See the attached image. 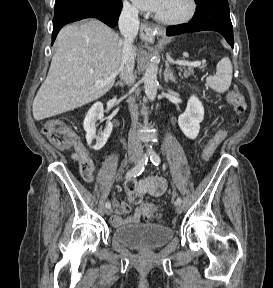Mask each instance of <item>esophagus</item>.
Instances as JSON below:
<instances>
[{
  "label": "esophagus",
  "instance_id": "34e87169",
  "mask_svg": "<svg viewBox=\"0 0 273 288\" xmlns=\"http://www.w3.org/2000/svg\"><path fill=\"white\" fill-rule=\"evenodd\" d=\"M162 32V29L157 28L148 22H143L141 24L140 35L144 40H151L155 34Z\"/></svg>",
  "mask_w": 273,
  "mask_h": 288
}]
</instances>
